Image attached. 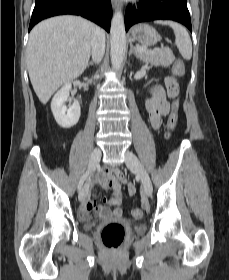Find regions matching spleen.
Wrapping results in <instances>:
<instances>
[{
  "mask_svg": "<svg viewBox=\"0 0 229 280\" xmlns=\"http://www.w3.org/2000/svg\"><path fill=\"white\" fill-rule=\"evenodd\" d=\"M155 23L169 25L173 29L175 34V44L180 54L184 59L190 60L192 57V42L186 29L182 25L169 20H158Z\"/></svg>",
  "mask_w": 229,
  "mask_h": 280,
  "instance_id": "spleen-1",
  "label": "spleen"
}]
</instances>
